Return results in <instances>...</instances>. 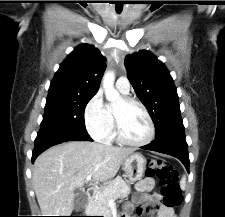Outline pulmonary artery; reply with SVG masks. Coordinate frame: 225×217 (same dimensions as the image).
Masks as SVG:
<instances>
[{
	"mask_svg": "<svg viewBox=\"0 0 225 217\" xmlns=\"http://www.w3.org/2000/svg\"><path fill=\"white\" fill-rule=\"evenodd\" d=\"M116 87L123 94H128L130 91V82L126 77H119L116 81Z\"/></svg>",
	"mask_w": 225,
	"mask_h": 217,
	"instance_id": "e3ab8cb5",
	"label": "pulmonary artery"
}]
</instances>
